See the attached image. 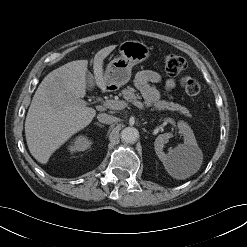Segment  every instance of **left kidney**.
Here are the masks:
<instances>
[{"mask_svg": "<svg viewBox=\"0 0 247 247\" xmlns=\"http://www.w3.org/2000/svg\"><path fill=\"white\" fill-rule=\"evenodd\" d=\"M179 133L184 137V143L178 145L168 154L163 151L164 144L169 138L173 137L172 133L160 134L154 143L155 152L160 160L167 164L171 162L181 161L184 159H192L199 153V148L192 129L185 122H180Z\"/></svg>", "mask_w": 247, "mask_h": 247, "instance_id": "obj_1", "label": "left kidney"}]
</instances>
